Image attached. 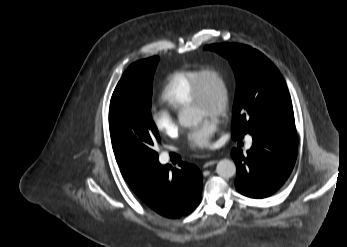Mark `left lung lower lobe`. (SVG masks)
<instances>
[{
  "label": "left lung lower lobe",
  "instance_id": "obj_1",
  "mask_svg": "<svg viewBox=\"0 0 347 247\" xmlns=\"http://www.w3.org/2000/svg\"><path fill=\"white\" fill-rule=\"evenodd\" d=\"M250 135L253 145L246 155L239 148L231 151L237 167L235 185L245 196L265 198L285 183L294 167L296 129L270 127Z\"/></svg>",
  "mask_w": 347,
  "mask_h": 247
}]
</instances>
